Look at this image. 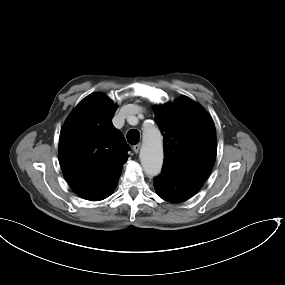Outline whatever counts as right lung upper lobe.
I'll list each match as a JSON object with an SVG mask.
<instances>
[{"instance_id":"right-lung-upper-lobe-1","label":"right lung upper lobe","mask_w":285,"mask_h":285,"mask_svg":"<svg viewBox=\"0 0 285 285\" xmlns=\"http://www.w3.org/2000/svg\"><path fill=\"white\" fill-rule=\"evenodd\" d=\"M117 105L101 93L83 99L59 139V163L67 183L84 199L99 201L117 185L129 146L111 119Z\"/></svg>"}]
</instances>
